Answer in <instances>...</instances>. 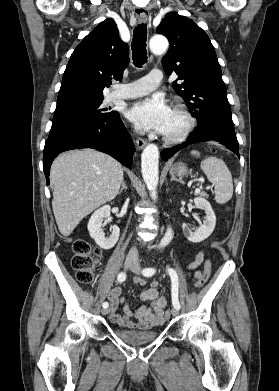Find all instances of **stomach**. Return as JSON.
Segmentation results:
<instances>
[{
	"label": "stomach",
	"instance_id": "0dacf381",
	"mask_svg": "<svg viewBox=\"0 0 279 391\" xmlns=\"http://www.w3.org/2000/svg\"><path fill=\"white\" fill-rule=\"evenodd\" d=\"M171 174H176L179 177L185 176L188 173L187 166L184 163H177L174 165L171 170Z\"/></svg>",
	"mask_w": 279,
	"mask_h": 391
}]
</instances>
